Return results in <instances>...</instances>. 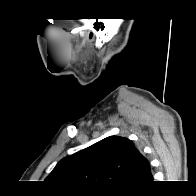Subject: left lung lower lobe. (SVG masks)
<instances>
[{
  "instance_id": "obj_1",
  "label": "left lung lower lobe",
  "mask_w": 196,
  "mask_h": 196,
  "mask_svg": "<svg viewBox=\"0 0 196 196\" xmlns=\"http://www.w3.org/2000/svg\"><path fill=\"white\" fill-rule=\"evenodd\" d=\"M153 181V177H152V174H151V170L149 171V174L147 175V178L145 180V183L144 184H148L150 182Z\"/></svg>"
}]
</instances>
